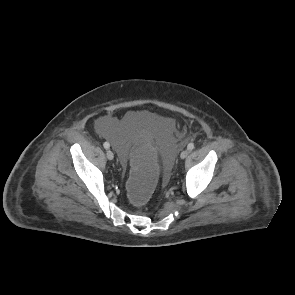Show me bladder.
Listing matches in <instances>:
<instances>
[{"label":"bladder","instance_id":"bladder-1","mask_svg":"<svg viewBox=\"0 0 295 295\" xmlns=\"http://www.w3.org/2000/svg\"><path fill=\"white\" fill-rule=\"evenodd\" d=\"M96 129L116 144L117 158L122 169L131 167L132 143L139 138H148L159 150L161 171L163 169L167 176L173 174L178 141L172 136L173 122L169 118L156 113L131 112L120 122H116L112 117L104 116L97 120Z\"/></svg>","mask_w":295,"mask_h":295}]
</instances>
